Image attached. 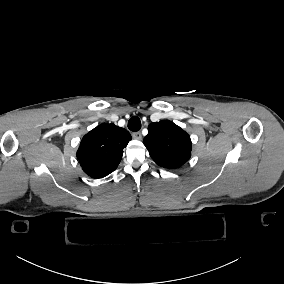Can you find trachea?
I'll return each mask as SVG.
<instances>
[{
    "label": "trachea",
    "mask_w": 284,
    "mask_h": 284,
    "mask_svg": "<svg viewBox=\"0 0 284 284\" xmlns=\"http://www.w3.org/2000/svg\"><path fill=\"white\" fill-rule=\"evenodd\" d=\"M128 128L133 131L137 132L141 129V121L137 116L130 118L128 121Z\"/></svg>",
    "instance_id": "1"
}]
</instances>
